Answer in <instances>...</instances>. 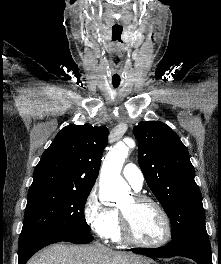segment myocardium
<instances>
[{
  "instance_id": "1",
  "label": "myocardium",
  "mask_w": 221,
  "mask_h": 264,
  "mask_svg": "<svg viewBox=\"0 0 221 264\" xmlns=\"http://www.w3.org/2000/svg\"><path fill=\"white\" fill-rule=\"evenodd\" d=\"M132 198L138 204L149 203L157 208L165 223V235L160 241L155 243H146L139 240L134 234L129 217L119 210L120 230L123 239L130 244L143 248H160L166 245L172 237V223L166 209L157 200L143 194H134Z\"/></svg>"
}]
</instances>
